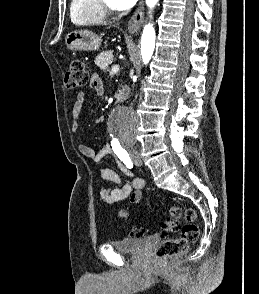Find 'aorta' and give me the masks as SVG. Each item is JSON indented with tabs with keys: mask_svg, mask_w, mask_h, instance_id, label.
<instances>
[{
	"mask_svg": "<svg viewBox=\"0 0 259 294\" xmlns=\"http://www.w3.org/2000/svg\"><path fill=\"white\" fill-rule=\"evenodd\" d=\"M159 0H146L149 9H153ZM155 29L151 23L144 26L141 37V55L144 64L149 63L155 48ZM139 117L131 109L120 107L113 111L109 121L110 135L119 141H132L136 137Z\"/></svg>",
	"mask_w": 259,
	"mask_h": 294,
	"instance_id": "aorta-1",
	"label": "aorta"
}]
</instances>
